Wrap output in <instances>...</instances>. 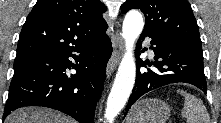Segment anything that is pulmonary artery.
I'll return each instance as SVG.
<instances>
[{
	"label": "pulmonary artery",
	"mask_w": 221,
	"mask_h": 123,
	"mask_svg": "<svg viewBox=\"0 0 221 123\" xmlns=\"http://www.w3.org/2000/svg\"><path fill=\"white\" fill-rule=\"evenodd\" d=\"M150 53L152 54V53H153V51L151 50V51H150Z\"/></svg>",
	"instance_id": "obj_1"
}]
</instances>
